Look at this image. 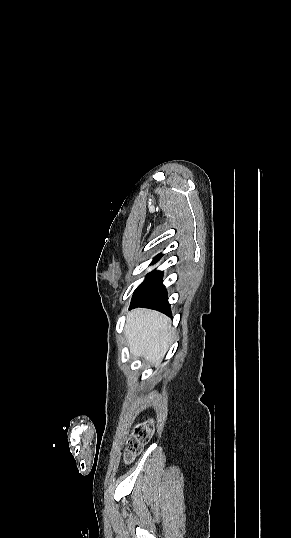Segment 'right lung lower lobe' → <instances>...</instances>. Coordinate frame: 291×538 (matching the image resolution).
Returning a JSON list of instances; mask_svg holds the SVG:
<instances>
[{"label": "right lung lower lobe", "instance_id": "right-lung-lower-lobe-1", "mask_svg": "<svg viewBox=\"0 0 291 538\" xmlns=\"http://www.w3.org/2000/svg\"><path fill=\"white\" fill-rule=\"evenodd\" d=\"M162 276V272L153 271L135 291L129 309L145 307L171 315L167 291L162 284Z\"/></svg>", "mask_w": 291, "mask_h": 538}]
</instances>
